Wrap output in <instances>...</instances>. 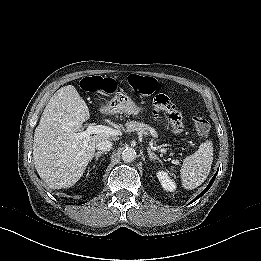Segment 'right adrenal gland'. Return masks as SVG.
<instances>
[{
	"instance_id": "2a0ac1e0",
	"label": "right adrenal gland",
	"mask_w": 261,
	"mask_h": 261,
	"mask_svg": "<svg viewBox=\"0 0 261 261\" xmlns=\"http://www.w3.org/2000/svg\"><path fill=\"white\" fill-rule=\"evenodd\" d=\"M102 154H106V153H104L103 151H98L97 153L94 154L93 157L97 161Z\"/></svg>"
}]
</instances>
